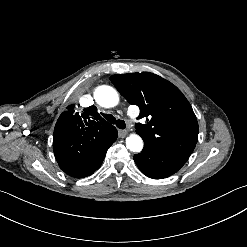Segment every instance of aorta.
<instances>
[{
	"label": "aorta",
	"mask_w": 247,
	"mask_h": 247,
	"mask_svg": "<svg viewBox=\"0 0 247 247\" xmlns=\"http://www.w3.org/2000/svg\"><path fill=\"white\" fill-rule=\"evenodd\" d=\"M96 102L105 108L115 107L119 102V95L117 91L111 86H99L94 92ZM126 146L132 151L139 153L143 149V140L137 134H130L126 138Z\"/></svg>",
	"instance_id": "762f6f07"
}]
</instances>
